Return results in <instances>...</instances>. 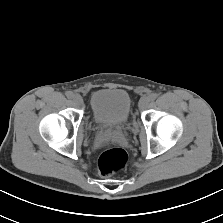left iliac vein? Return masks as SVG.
<instances>
[{
    "mask_svg": "<svg viewBox=\"0 0 223 223\" xmlns=\"http://www.w3.org/2000/svg\"><path fill=\"white\" fill-rule=\"evenodd\" d=\"M149 102H150V100H149L148 96L142 97L138 104L139 109L144 110L147 107V105L149 104Z\"/></svg>",
    "mask_w": 223,
    "mask_h": 223,
    "instance_id": "left-iliac-vein-1",
    "label": "left iliac vein"
}]
</instances>
